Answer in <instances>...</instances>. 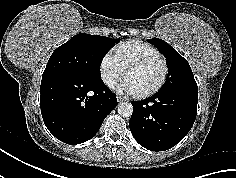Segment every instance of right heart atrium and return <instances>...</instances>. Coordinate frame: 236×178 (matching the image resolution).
<instances>
[{
	"mask_svg": "<svg viewBox=\"0 0 236 178\" xmlns=\"http://www.w3.org/2000/svg\"><path fill=\"white\" fill-rule=\"evenodd\" d=\"M124 69L115 59L113 53L106 52L99 62V74L107 87H112L122 77Z\"/></svg>",
	"mask_w": 236,
	"mask_h": 178,
	"instance_id": "right-heart-atrium-1",
	"label": "right heart atrium"
}]
</instances>
